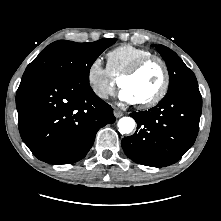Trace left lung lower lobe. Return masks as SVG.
Listing matches in <instances>:
<instances>
[{"label":"left lung lower lobe","instance_id":"left-lung-lower-lobe-1","mask_svg":"<svg viewBox=\"0 0 221 221\" xmlns=\"http://www.w3.org/2000/svg\"><path fill=\"white\" fill-rule=\"evenodd\" d=\"M201 111L198 86H186L166 94L148 111L131 113L137 130L122 140L126 156L151 167L177 162L195 142Z\"/></svg>","mask_w":221,"mask_h":221}]
</instances>
